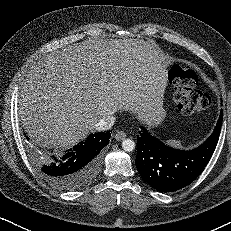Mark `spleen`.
Returning <instances> with one entry per match:
<instances>
[{"instance_id":"1","label":"spleen","mask_w":231,"mask_h":231,"mask_svg":"<svg viewBox=\"0 0 231 231\" xmlns=\"http://www.w3.org/2000/svg\"><path fill=\"white\" fill-rule=\"evenodd\" d=\"M166 143L169 146L175 147V148H181L182 144L180 140H167Z\"/></svg>"}]
</instances>
